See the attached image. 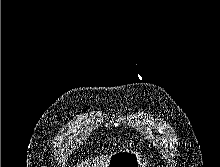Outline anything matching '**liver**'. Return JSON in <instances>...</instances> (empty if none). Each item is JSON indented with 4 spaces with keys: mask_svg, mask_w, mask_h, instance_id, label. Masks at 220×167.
I'll list each match as a JSON object with an SVG mask.
<instances>
[{
    "mask_svg": "<svg viewBox=\"0 0 220 167\" xmlns=\"http://www.w3.org/2000/svg\"><path fill=\"white\" fill-rule=\"evenodd\" d=\"M110 156L101 155L95 159L86 160L76 167H107L109 164Z\"/></svg>",
    "mask_w": 220,
    "mask_h": 167,
    "instance_id": "1",
    "label": "liver"
}]
</instances>
